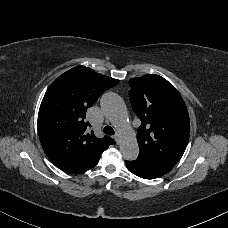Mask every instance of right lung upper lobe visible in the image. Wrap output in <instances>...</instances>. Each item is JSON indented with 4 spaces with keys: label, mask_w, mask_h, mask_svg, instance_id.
<instances>
[{
    "label": "right lung upper lobe",
    "mask_w": 228,
    "mask_h": 228,
    "mask_svg": "<svg viewBox=\"0 0 228 228\" xmlns=\"http://www.w3.org/2000/svg\"><path fill=\"white\" fill-rule=\"evenodd\" d=\"M118 82L78 66L49 86L39 109L38 134L46 155L58 168L71 172L115 144L110 137L97 138L90 131L86 111Z\"/></svg>",
    "instance_id": "cb5924a9"
}]
</instances>
